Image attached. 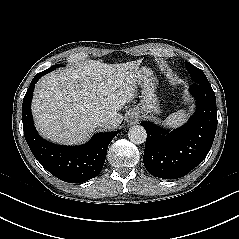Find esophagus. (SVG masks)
<instances>
[{"label":"esophagus","instance_id":"34e87169","mask_svg":"<svg viewBox=\"0 0 239 239\" xmlns=\"http://www.w3.org/2000/svg\"><path fill=\"white\" fill-rule=\"evenodd\" d=\"M139 118H140V116L138 113H134L129 117L130 122H132V123L138 122Z\"/></svg>","mask_w":239,"mask_h":239}]
</instances>
